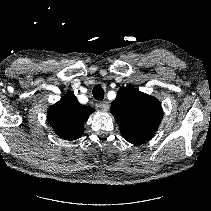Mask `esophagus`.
Wrapping results in <instances>:
<instances>
[{
	"label": "esophagus",
	"instance_id": "obj_1",
	"mask_svg": "<svg viewBox=\"0 0 211 211\" xmlns=\"http://www.w3.org/2000/svg\"><path fill=\"white\" fill-rule=\"evenodd\" d=\"M99 107L103 111H107L109 109V103L107 101H102V102L99 103Z\"/></svg>",
	"mask_w": 211,
	"mask_h": 211
}]
</instances>
